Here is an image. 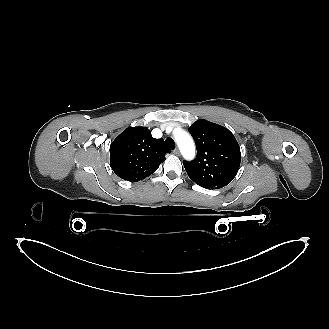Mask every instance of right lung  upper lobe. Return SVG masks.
<instances>
[{
    "label": "right lung upper lobe",
    "mask_w": 329,
    "mask_h": 329,
    "mask_svg": "<svg viewBox=\"0 0 329 329\" xmlns=\"http://www.w3.org/2000/svg\"><path fill=\"white\" fill-rule=\"evenodd\" d=\"M170 151L147 127H129L110 145V165L122 179L137 182L154 173Z\"/></svg>",
    "instance_id": "right-lung-upper-lobe-1"
}]
</instances>
